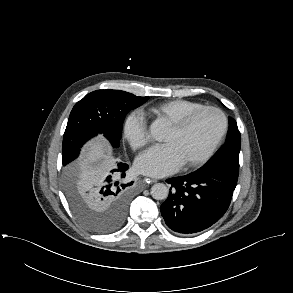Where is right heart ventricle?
Instances as JSON below:
<instances>
[{
  "label": "right heart ventricle",
  "mask_w": 293,
  "mask_h": 293,
  "mask_svg": "<svg viewBox=\"0 0 293 293\" xmlns=\"http://www.w3.org/2000/svg\"><path fill=\"white\" fill-rule=\"evenodd\" d=\"M205 106L203 103L185 99H172L150 107L147 112L169 125L184 115Z\"/></svg>",
  "instance_id": "obj_1"
}]
</instances>
